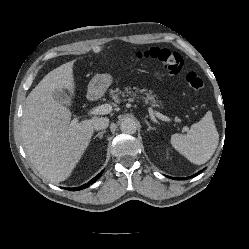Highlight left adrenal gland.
I'll return each mask as SVG.
<instances>
[{
  "label": "left adrenal gland",
  "instance_id": "a2214340",
  "mask_svg": "<svg viewBox=\"0 0 249 249\" xmlns=\"http://www.w3.org/2000/svg\"><path fill=\"white\" fill-rule=\"evenodd\" d=\"M145 122H146V124L148 126V128H147L148 131H150V130H156V128L150 126V124H149V122L147 120H145Z\"/></svg>",
  "mask_w": 249,
  "mask_h": 249
}]
</instances>
